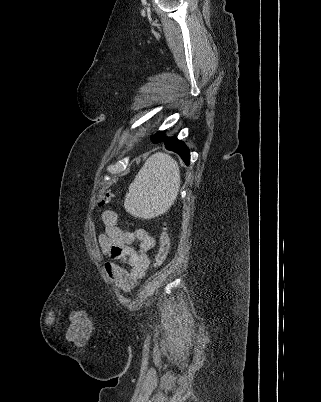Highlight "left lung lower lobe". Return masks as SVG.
Listing matches in <instances>:
<instances>
[{"instance_id":"obj_1","label":"left lung lower lobe","mask_w":321,"mask_h":402,"mask_svg":"<svg viewBox=\"0 0 321 402\" xmlns=\"http://www.w3.org/2000/svg\"><path fill=\"white\" fill-rule=\"evenodd\" d=\"M164 131L157 132V137L153 141L154 143L163 142L165 148L171 151L176 152L185 162L186 165L190 163V154L188 147L181 141L178 140L176 137H167L164 134Z\"/></svg>"}]
</instances>
